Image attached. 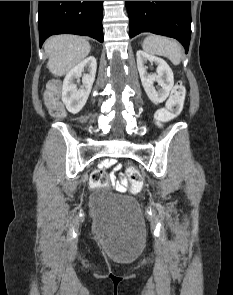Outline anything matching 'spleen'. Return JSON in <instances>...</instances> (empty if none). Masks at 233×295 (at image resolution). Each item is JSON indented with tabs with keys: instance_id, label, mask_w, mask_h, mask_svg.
Listing matches in <instances>:
<instances>
[{
	"instance_id": "obj_1",
	"label": "spleen",
	"mask_w": 233,
	"mask_h": 295,
	"mask_svg": "<svg viewBox=\"0 0 233 295\" xmlns=\"http://www.w3.org/2000/svg\"><path fill=\"white\" fill-rule=\"evenodd\" d=\"M142 47L150 54L169 58L175 65L180 63L182 50L179 42L174 39L151 34L144 39Z\"/></svg>"
}]
</instances>
